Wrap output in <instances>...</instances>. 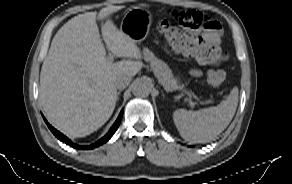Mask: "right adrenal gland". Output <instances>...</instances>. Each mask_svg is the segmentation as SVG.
I'll use <instances>...</instances> for the list:
<instances>
[{
    "label": "right adrenal gland",
    "instance_id": "right-adrenal-gland-1",
    "mask_svg": "<svg viewBox=\"0 0 292 184\" xmlns=\"http://www.w3.org/2000/svg\"><path fill=\"white\" fill-rule=\"evenodd\" d=\"M121 91H122V90H119V91L117 92V101L119 100V96H120Z\"/></svg>",
    "mask_w": 292,
    "mask_h": 184
}]
</instances>
